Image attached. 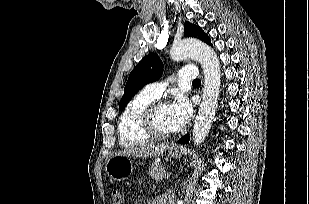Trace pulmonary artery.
<instances>
[{
	"label": "pulmonary artery",
	"mask_w": 309,
	"mask_h": 204,
	"mask_svg": "<svg viewBox=\"0 0 309 204\" xmlns=\"http://www.w3.org/2000/svg\"><path fill=\"white\" fill-rule=\"evenodd\" d=\"M198 72L193 67H183L179 70L177 77L181 81L195 80L197 79ZM164 82H153L145 86L144 91L149 95L159 98L166 87Z\"/></svg>",
	"instance_id": "e3ab8cb5"
}]
</instances>
